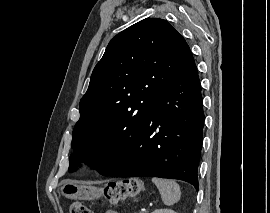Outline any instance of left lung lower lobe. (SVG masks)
Returning <instances> with one entry per match:
<instances>
[{"label": "left lung lower lobe", "mask_w": 270, "mask_h": 213, "mask_svg": "<svg viewBox=\"0 0 270 213\" xmlns=\"http://www.w3.org/2000/svg\"><path fill=\"white\" fill-rule=\"evenodd\" d=\"M203 124L200 81L193 64L171 82L138 130L124 142L108 144L93 167L111 177L180 179L198 190Z\"/></svg>", "instance_id": "1"}]
</instances>
